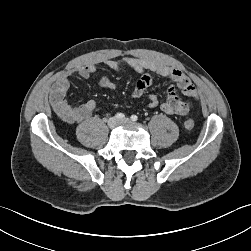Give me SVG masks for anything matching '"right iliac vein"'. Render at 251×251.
<instances>
[{"label":"right iliac vein","instance_id":"obj_1","mask_svg":"<svg viewBox=\"0 0 251 251\" xmlns=\"http://www.w3.org/2000/svg\"><path fill=\"white\" fill-rule=\"evenodd\" d=\"M119 124V120L116 117H112L108 120V126L114 129Z\"/></svg>","mask_w":251,"mask_h":251}]
</instances>
